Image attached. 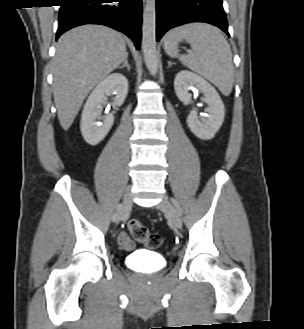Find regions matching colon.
I'll use <instances>...</instances> for the list:
<instances>
[{
    "instance_id": "obj_1",
    "label": "colon",
    "mask_w": 304,
    "mask_h": 329,
    "mask_svg": "<svg viewBox=\"0 0 304 329\" xmlns=\"http://www.w3.org/2000/svg\"><path fill=\"white\" fill-rule=\"evenodd\" d=\"M127 226L131 236L137 242L144 244L147 248L157 249L162 245L161 237L156 233H151L149 229L138 220H130Z\"/></svg>"
}]
</instances>
